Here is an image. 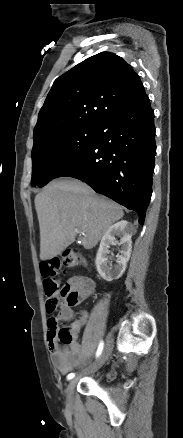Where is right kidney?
Masks as SVG:
<instances>
[{
  "label": "right kidney",
  "mask_w": 183,
  "mask_h": 438,
  "mask_svg": "<svg viewBox=\"0 0 183 438\" xmlns=\"http://www.w3.org/2000/svg\"><path fill=\"white\" fill-rule=\"evenodd\" d=\"M134 232L135 228L131 223L126 220H121L110 226L103 235L96 254L95 264L98 273L106 281L109 282L114 279H119L123 275L131 255V237ZM115 236L120 238L119 242ZM111 244L121 246L119 250L120 255H117V260L114 265L112 264V257L108 256Z\"/></svg>",
  "instance_id": "ca27d5eb"
}]
</instances>
